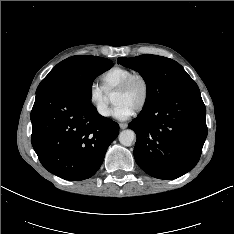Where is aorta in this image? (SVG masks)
<instances>
[{
    "label": "aorta",
    "mask_w": 234,
    "mask_h": 234,
    "mask_svg": "<svg viewBox=\"0 0 234 234\" xmlns=\"http://www.w3.org/2000/svg\"><path fill=\"white\" fill-rule=\"evenodd\" d=\"M135 140V133L133 130H123L119 134V142L124 146H131Z\"/></svg>",
    "instance_id": "aorta-1"
}]
</instances>
